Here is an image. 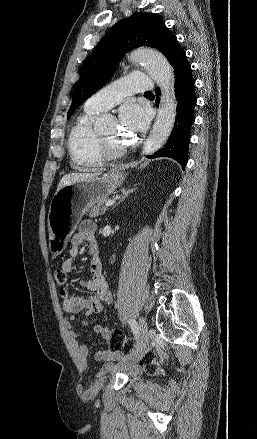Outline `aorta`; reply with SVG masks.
<instances>
[{"label": "aorta", "instance_id": "1", "mask_svg": "<svg viewBox=\"0 0 257 439\" xmlns=\"http://www.w3.org/2000/svg\"><path fill=\"white\" fill-rule=\"evenodd\" d=\"M130 60L141 63L161 90L157 118L143 147V153L150 155L164 145L174 127L176 101L173 69L162 53L150 48H142L132 52ZM111 120L110 115H101L96 118L94 127L97 130H102Z\"/></svg>", "mask_w": 257, "mask_h": 439}]
</instances>
